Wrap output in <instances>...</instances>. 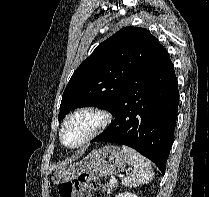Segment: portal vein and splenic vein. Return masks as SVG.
<instances>
[{"label": "portal vein and splenic vein", "mask_w": 209, "mask_h": 197, "mask_svg": "<svg viewBox=\"0 0 209 197\" xmlns=\"http://www.w3.org/2000/svg\"><path fill=\"white\" fill-rule=\"evenodd\" d=\"M116 182H117L116 178L110 179V183L114 184V183H116Z\"/></svg>", "instance_id": "obj_1"}]
</instances>
